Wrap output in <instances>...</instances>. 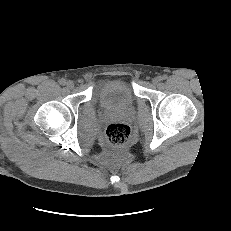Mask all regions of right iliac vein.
Here are the masks:
<instances>
[{"instance_id": "1", "label": "right iliac vein", "mask_w": 231, "mask_h": 231, "mask_svg": "<svg viewBox=\"0 0 231 231\" xmlns=\"http://www.w3.org/2000/svg\"><path fill=\"white\" fill-rule=\"evenodd\" d=\"M66 86H67V88L71 89V88L74 87V82L69 80V81L66 82Z\"/></svg>"}]
</instances>
